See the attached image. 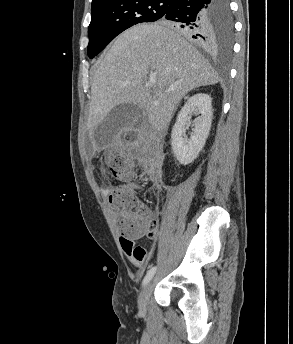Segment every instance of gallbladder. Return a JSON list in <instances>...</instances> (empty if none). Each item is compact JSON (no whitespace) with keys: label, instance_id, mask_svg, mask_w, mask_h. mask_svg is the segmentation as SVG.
<instances>
[{"label":"gallbladder","instance_id":"bac80fb5","mask_svg":"<svg viewBox=\"0 0 293 344\" xmlns=\"http://www.w3.org/2000/svg\"><path fill=\"white\" fill-rule=\"evenodd\" d=\"M142 114L143 111L133 103L115 106L94 128L93 139L96 146L104 148L111 144L120 131L132 127Z\"/></svg>","mask_w":293,"mask_h":344}]
</instances>
